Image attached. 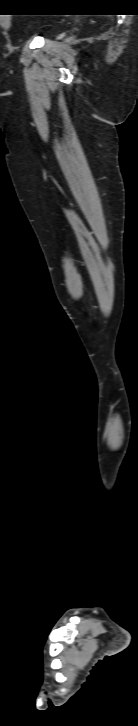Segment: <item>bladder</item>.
<instances>
[{"label":"bladder","mask_w":138,"mask_h":726,"mask_svg":"<svg viewBox=\"0 0 138 726\" xmlns=\"http://www.w3.org/2000/svg\"><path fill=\"white\" fill-rule=\"evenodd\" d=\"M52 29V25L48 23H41L38 25V31L42 33H48Z\"/></svg>","instance_id":"obj_1"}]
</instances>
